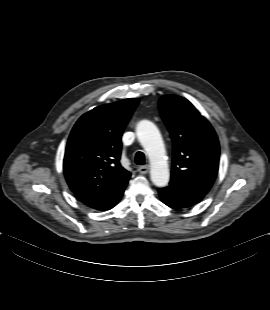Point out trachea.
<instances>
[{
  "label": "trachea",
  "instance_id": "obj_1",
  "mask_svg": "<svg viewBox=\"0 0 270 310\" xmlns=\"http://www.w3.org/2000/svg\"><path fill=\"white\" fill-rule=\"evenodd\" d=\"M134 160H135V163L137 165H144L145 164V155H144V153L143 152H137L135 154Z\"/></svg>",
  "mask_w": 270,
  "mask_h": 310
}]
</instances>
